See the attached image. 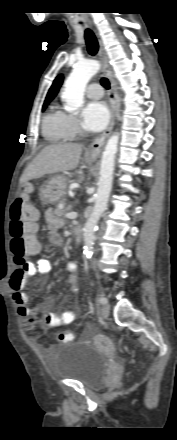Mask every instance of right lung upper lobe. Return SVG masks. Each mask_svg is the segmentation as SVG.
Returning a JSON list of instances; mask_svg holds the SVG:
<instances>
[{
    "instance_id": "right-lung-upper-lobe-1",
    "label": "right lung upper lobe",
    "mask_w": 177,
    "mask_h": 440,
    "mask_svg": "<svg viewBox=\"0 0 177 440\" xmlns=\"http://www.w3.org/2000/svg\"><path fill=\"white\" fill-rule=\"evenodd\" d=\"M62 81H63V76H62V75H59V76L54 80V82H53L51 88H50L49 91H48V94H47V96H46V99H45V102H44V103H46V102L49 103V102H50V101L56 96V94H57V92H58V90H59V88H60V86H61V84H62Z\"/></svg>"
}]
</instances>
